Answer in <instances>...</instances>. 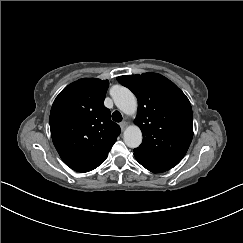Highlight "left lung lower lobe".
<instances>
[{
  "instance_id": "left-lung-lower-lobe-1",
  "label": "left lung lower lobe",
  "mask_w": 243,
  "mask_h": 243,
  "mask_svg": "<svg viewBox=\"0 0 243 243\" xmlns=\"http://www.w3.org/2000/svg\"><path fill=\"white\" fill-rule=\"evenodd\" d=\"M135 158L137 159V161L143 166L145 167L147 170L154 172V173H161V172H165L167 170H169L170 168H166V167H162V166H157L155 164H153L152 162L142 158L141 156L135 155Z\"/></svg>"
}]
</instances>
